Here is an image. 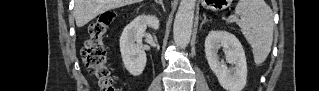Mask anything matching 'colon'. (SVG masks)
I'll return each mask as SVG.
<instances>
[{"label": "colon", "instance_id": "obj_1", "mask_svg": "<svg viewBox=\"0 0 319 91\" xmlns=\"http://www.w3.org/2000/svg\"><path fill=\"white\" fill-rule=\"evenodd\" d=\"M114 19L112 12L101 14L91 25L89 38L82 48V59L91 76L97 81L99 90L113 91V81L106 66L107 55L104 36Z\"/></svg>", "mask_w": 319, "mask_h": 91}]
</instances>
